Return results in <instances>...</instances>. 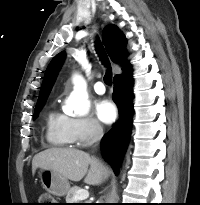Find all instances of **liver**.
<instances>
[{"instance_id": "6515ba94", "label": "liver", "mask_w": 200, "mask_h": 205, "mask_svg": "<svg viewBox=\"0 0 200 205\" xmlns=\"http://www.w3.org/2000/svg\"><path fill=\"white\" fill-rule=\"evenodd\" d=\"M37 168L55 171L75 182L85 177L84 182L89 185L101 184L109 173L97 158L82 150L69 148H50L36 154L32 160L33 174Z\"/></svg>"}]
</instances>
